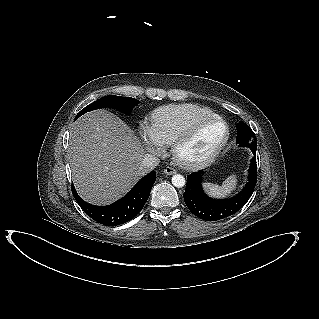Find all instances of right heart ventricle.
Listing matches in <instances>:
<instances>
[{
	"label": "right heart ventricle",
	"instance_id": "obj_1",
	"mask_svg": "<svg viewBox=\"0 0 319 319\" xmlns=\"http://www.w3.org/2000/svg\"><path fill=\"white\" fill-rule=\"evenodd\" d=\"M216 115L212 110L195 104H174L155 109L150 128L165 145H171L194 121Z\"/></svg>",
	"mask_w": 319,
	"mask_h": 319
}]
</instances>
